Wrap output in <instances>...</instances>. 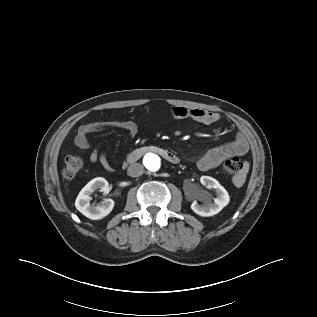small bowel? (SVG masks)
Here are the masks:
<instances>
[{"label":"small bowel","instance_id":"1","mask_svg":"<svg viewBox=\"0 0 317 317\" xmlns=\"http://www.w3.org/2000/svg\"><path fill=\"white\" fill-rule=\"evenodd\" d=\"M171 112L175 119L190 118L204 125H212L218 122L220 119V116L217 112L200 108L174 106ZM112 125L126 130L130 137H134L138 132L136 123L131 120L114 121L112 122ZM103 128L104 125L99 123H88L81 125L78 128L74 138V144L80 151L89 152V160L92 163H100L105 170L112 171L113 168L110 165L105 152L99 150L98 147L92 148L88 140V134L100 131ZM248 150L249 144L246 137L241 132H237L232 142L208 150L197 160L196 165L200 171L206 172L220 165L227 158L245 155ZM244 166L246 171L248 165L244 164ZM243 181L244 174L238 178H235L234 183L235 185L239 186L243 183Z\"/></svg>","mask_w":317,"mask_h":317}]
</instances>
